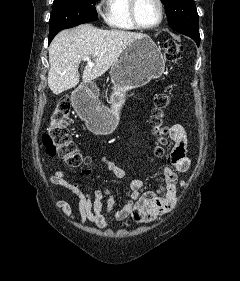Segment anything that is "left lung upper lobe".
<instances>
[{"mask_svg": "<svg viewBox=\"0 0 240 281\" xmlns=\"http://www.w3.org/2000/svg\"><path fill=\"white\" fill-rule=\"evenodd\" d=\"M170 27L184 35L199 33V16L194 0H161Z\"/></svg>", "mask_w": 240, "mask_h": 281, "instance_id": "5c2ea615", "label": "left lung upper lobe"}]
</instances>
